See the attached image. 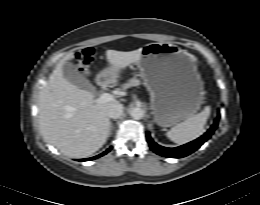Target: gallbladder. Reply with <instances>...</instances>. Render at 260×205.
Segmentation results:
<instances>
[{"mask_svg":"<svg viewBox=\"0 0 260 205\" xmlns=\"http://www.w3.org/2000/svg\"><path fill=\"white\" fill-rule=\"evenodd\" d=\"M64 78L76 87L88 91L94 89L90 81L81 74L73 63L65 62L62 67Z\"/></svg>","mask_w":260,"mask_h":205,"instance_id":"gallbladder-1","label":"gallbladder"}]
</instances>
